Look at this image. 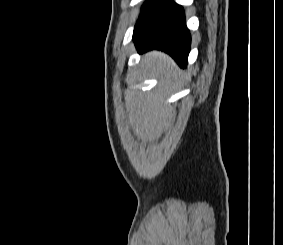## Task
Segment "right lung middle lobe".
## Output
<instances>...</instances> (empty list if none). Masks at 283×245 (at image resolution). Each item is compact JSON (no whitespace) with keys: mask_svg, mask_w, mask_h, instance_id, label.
Here are the masks:
<instances>
[{"mask_svg":"<svg viewBox=\"0 0 283 245\" xmlns=\"http://www.w3.org/2000/svg\"><path fill=\"white\" fill-rule=\"evenodd\" d=\"M155 0H147L145 5L143 6V10L146 9L151 3H153Z\"/></svg>","mask_w":283,"mask_h":245,"instance_id":"obj_1","label":"right lung middle lobe"}]
</instances>
